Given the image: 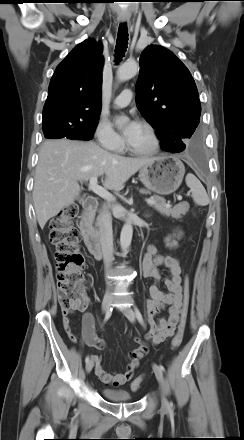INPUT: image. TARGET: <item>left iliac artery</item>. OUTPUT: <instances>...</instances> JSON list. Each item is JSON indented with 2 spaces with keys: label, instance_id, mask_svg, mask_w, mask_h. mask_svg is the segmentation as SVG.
<instances>
[{
  "label": "left iliac artery",
  "instance_id": "left-iliac-artery-1",
  "mask_svg": "<svg viewBox=\"0 0 244 440\" xmlns=\"http://www.w3.org/2000/svg\"><path fill=\"white\" fill-rule=\"evenodd\" d=\"M134 310H135L137 320L139 321V323L141 325H144L142 314L136 305H134ZM158 367L161 371H165V368L162 365H159ZM170 406H172V403H170Z\"/></svg>",
  "mask_w": 244,
  "mask_h": 440
}]
</instances>
